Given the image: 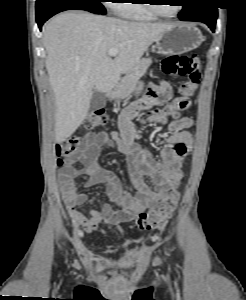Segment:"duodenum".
Returning a JSON list of instances; mask_svg holds the SVG:
<instances>
[{"instance_id": "duodenum-1", "label": "duodenum", "mask_w": 246, "mask_h": 300, "mask_svg": "<svg viewBox=\"0 0 246 300\" xmlns=\"http://www.w3.org/2000/svg\"><path fill=\"white\" fill-rule=\"evenodd\" d=\"M106 98L108 99H112L113 98V91L111 89H109L106 93H105Z\"/></svg>"}]
</instances>
